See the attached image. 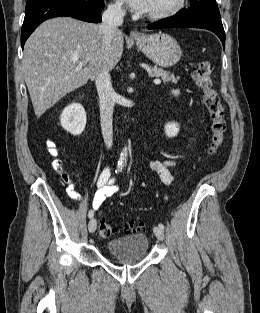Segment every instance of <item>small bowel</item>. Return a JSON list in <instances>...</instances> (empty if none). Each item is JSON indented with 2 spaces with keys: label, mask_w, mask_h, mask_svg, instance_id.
Masks as SVG:
<instances>
[{
  "label": "small bowel",
  "mask_w": 260,
  "mask_h": 313,
  "mask_svg": "<svg viewBox=\"0 0 260 313\" xmlns=\"http://www.w3.org/2000/svg\"><path fill=\"white\" fill-rule=\"evenodd\" d=\"M173 95H177L178 91L174 90L172 91ZM194 141V139H191V143ZM50 153L53 156H57L58 152L57 149L53 144L50 146ZM56 167L59 169V174L61 177V180L64 184L67 185V191L69 196L73 200H81L83 199V195L77 192L75 188V184L72 181L70 175L68 172H66L62 168V161L60 159H57L56 161ZM174 162L171 160H154L151 162V169L154 171V173L158 176L160 181L165 184L169 185L173 182V174L171 171V167L173 166ZM97 187L98 191L95 194L92 207L94 209H98L101 207L107 198L115 195L119 191V187L115 184V179L111 177V170L110 168H105L97 181Z\"/></svg>",
  "instance_id": "obj_1"
}]
</instances>
